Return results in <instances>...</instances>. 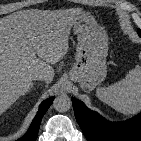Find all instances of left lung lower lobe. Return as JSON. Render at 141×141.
Masks as SVG:
<instances>
[{
  "instance_id": "0a47b994",
  "label": "left lung lower lobe",
  "mask_w": 141,
  "mask_h": 141,
  "mask_svg": "<svg viewBox=\"0 0 141 141\" xmlns=\"http://www.w3.org/2000/svg\"><path fill=\"white\" fill-rule=\"evenodd\" d=\"M141 37V31L138 32ZM76 119L88 141H141V113L122 123L103 124L104 120L72 99Z\"/></svg>"
}]
</instances>
